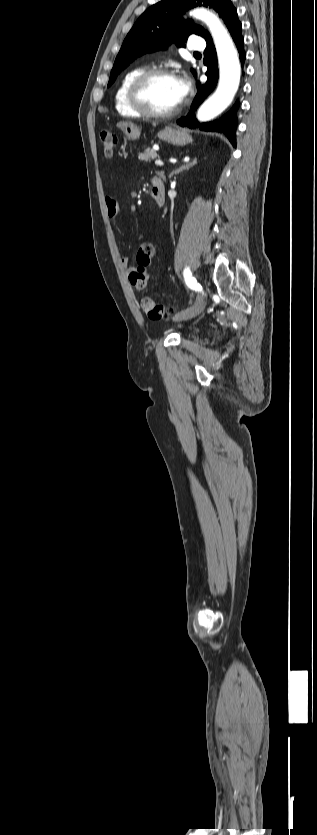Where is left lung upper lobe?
I'll use <instances>...</instances> for the list:
<instances>
[{"label": "left lung upper lobe", "instance_id": "left-lung-upper-lobe-1", "mask_svg": "<svg viewBox=\"0 0 317 835\" xmlns=\"http://www.w3.org/2000/svg\"><path fill=\"white\" fill-rule=\"evenodd\" d=\"M230 0H162L147 9L136 21L127 34L115 59L108 86H111L118 74L134 59L147 53L166 49V45L175 43L184 46L190 34H197L208 40L211 36L201 26L191 20H183V13L196 6L214 8L226 21L229 13L224 9ZM192 72H194L192 70Z\"/></svg>", "mask_w": 317, "mask_h": 835}]
</instances>
